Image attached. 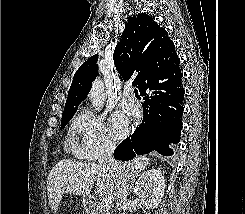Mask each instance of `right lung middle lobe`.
Instances as JSON below:
<instances>
[{"instance_id": "dd1d6c3e", "label": "right lung middle lobe", "mask_w": 245, "mask_h": 214, "mask_svg": "<svg viewBox=\"0 0 245 214\" xmlns=\"http://www.w3.org/2000/svg\"><path fill=\"white\" fill-rule=\"evenodd\" d=\"M73 115H74V113L62 115L61 129H63L67 125V123L70 121V119L73 117Z\"/></svg>"}]
</instances>
